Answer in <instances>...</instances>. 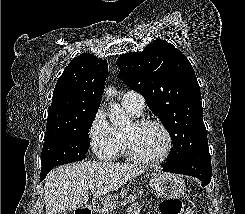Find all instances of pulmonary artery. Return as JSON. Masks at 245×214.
I'll return each mask as SVG.
<instances>
[{
  "label": "pulmonary artery",
  "instance_id": "1",
  "mask_svg": "<svg viewBox=\"0 0 245 214\" xmlns=\"http://www.w3.org/2000/svg\"><path fill=\"white\" fill-rule=\"evenodd\" d=\"M121 101L123 106L129 107L138 113H142L145 107V99L135 91H127L124 93Z\"/></svg>",
  "mask_w": 245,
  "mask_h": 214
}]
</instances>
